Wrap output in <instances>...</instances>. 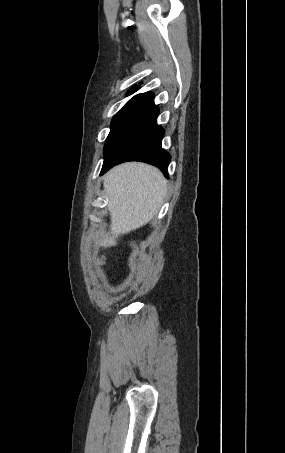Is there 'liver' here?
I'll list each match as a JSON object with an SVG mask.
<instances>
[{
  "label": "liver",
  "mask_w": 285,
  "mask_h": 453,
  "mask_svg": "<svg viewBox=\"0 0 285 453\" xmlns=\"http://www.w3.org/2000/svg\"><path fill=\"white\" fill-rule=\"evenodd\" d=\"M104 189L111 216L110 231L99 242L110 247L121 235L136 230L154 218L166 194V180L155 167L124 163L104 177Z\"/></svg>",
  "instance_id": "liver-1"
}]
</instances>
